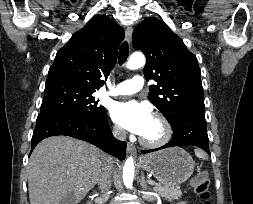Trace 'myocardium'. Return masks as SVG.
Returning a JSON list of instances; mask_svg holds the SVG:
<instances>
[{
    "label": "myocardium",
    "instance_id": "myocardium-1",
    "mask_svg": "<svg viewBox=\"0 0 253 204\" xmlns=\"http://www.w3.org/2000/svg\"><path fill=\"white\" fill-rule=\"evenodd\" d=\"M153 118L161 124L163 128L162 136L158 140H155V141H150L140 136L139 142L147 148H160L166 145L171 140L173 130L169 121L164 116L160 114H155Z\"/></svg>",
    "mask_w": 253,
    "mask_h": 204
}]
</instances>
